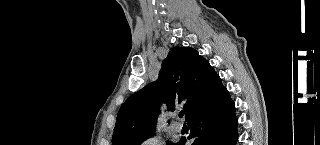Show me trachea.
<instances>
[{
	"label": "trachea",
	"mask_w": 320,
	"mask_h": 145,
	"mask_svg": "<svg viewBox=\"0 0 320 145\" xmlns=\"http://www.w3.org/2000/svg\"><path fill=\"white\" fill-rule=\"evenodd\" d=\"M183 115H184V111H180V112H179V117L182 118Z\"/></svg>",
	"instance_id": "3493384b"
}]
</instances>
